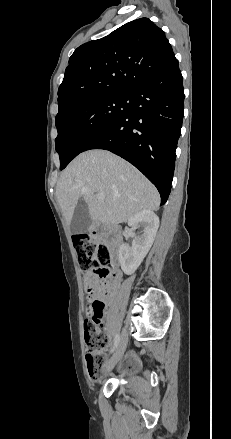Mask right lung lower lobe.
I'll list each match as a JSON object with an SVG mask.
<instances>
[{"label": "right lung lower lobe", "instance_id": "obj_1", "mask_svg": "<svg viewBox=\"0 0 231 439\" xmlns=\"http://www.w3.org/2000/svg\"><path fill=\"white\" fill-rule=\"evenodd\" d=\"M182 80L176 59L135 90L128 112L83 148L109 150L129 161L157 187L161 205L171 191L175 150L182 127Z\"/></svg>", "mask_w": 231, "mask_h": 439}]
</instances>
